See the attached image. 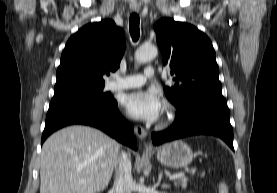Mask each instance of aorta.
<instances>
[{
  "mask_svg": "<svg viewBox=\"0 0 277 193\" xmlns=\"http://www.w3.org/2000/svg\"><path fill=\"white\" fill-rule=\"evenodd\" d=\"M158 54L155 46H142L135 52V60L138 63H146L153 60Z\"/></svg>",
  "mask_w": 277,
  "mask_h": 193,
  "instance_id": "1",
  "label": "aorta"
}]
</instances>
